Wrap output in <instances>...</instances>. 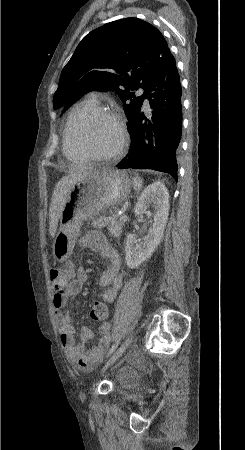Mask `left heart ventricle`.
I'll return each mask as SVG.
<instances>
[{
  "label": "left heart ventricle",
  "mask_w": 245,
  "mask_h": 450,
  "mask_svg": "<svg viewBox=\"0 0 245 450\" xmlns=\"http://www.w3.org/2000/svg\"><path fill=\"white\" fill-rule=\"evenodd\" d=\"M78 138L96 155H107L115 151L120 143L118 126L111 120L99 119L89 127L82 120L75 121Z\"/></svg>",
  "instance_id": "b2bd125f"
}]
</instances>
